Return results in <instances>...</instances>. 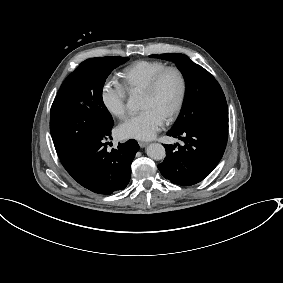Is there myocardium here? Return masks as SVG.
Here are the masks:
<instances>
[{"instance_id": "1", "label": "myocardium", "mask_w": 283, "mask_h": 283, "mask_svg": "<svg viewBox=\"0 0 283 283\" xmlns=\"http://www.w3.org/2000/svg\"><path fill=\"white\" fill-rule=\"evenodd\" d=\"M170 72H174L178 76L179 83H180V89H179V93H178V96H177V99H176L174 106L170 109V111L165 116L166 119L173 118L175 115H177L179 113V111L182 108V105H183V102H184V99H185V95H186V89H187L186 77H185L183 71L176 66H167L164 69H162L160 72H158L148 82V84L145 86V88L141 91L143 94H146V95H151V94L155 93L156 90L158 89L162 79Z\"/></svg>"}]
</instances>
